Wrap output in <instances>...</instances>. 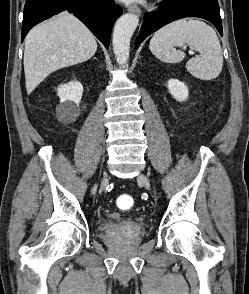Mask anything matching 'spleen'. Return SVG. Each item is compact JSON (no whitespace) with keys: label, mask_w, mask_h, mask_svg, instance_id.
<instances>
[{"label":"spleen","mask_w":249,"mask_h":294,"mask_svg":"<svg viewBox=\"0 0 249 294\" xmlns=\"http://www.w3.org/2000/svg\"><path fill=\"white\" fill-rule=\"evenodd\" d=\"M185 44L200 53L186 63L191 75L205 81L219 76L223 66L219 38L214 29L203 21L185 18L167 24L155 32L149 49L162 62L179 63L185 58V54L174 50V47Z\"/></svg>","instance_id":"spleen-1"}]
</instances>
